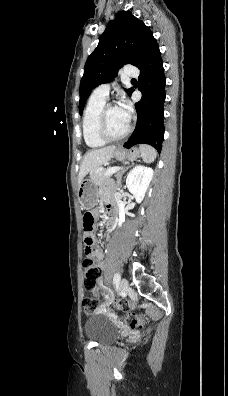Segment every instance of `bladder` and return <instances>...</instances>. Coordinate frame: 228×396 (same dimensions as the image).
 <instances>
[{
  "instance_id": "31cf9c89",
  "label": "bladder",
  "mask_w": 228,
  "mask_h": 396,
  "mask_svg": "<svg viewBox=\"0 0 228 396\" xmlns=\"http://www.w3.org/2000/svg\"><path fill=\"white\" fill-rule=\"evenodd\" d=\"M85 336L98 344H106L116 340L119 329L103 315H94L84 324Z\"/></svg>"
}]
</instances>
